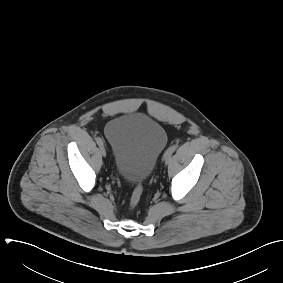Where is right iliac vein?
Here are the masks:
<instances>
[{"mask_svg": "<svg viewBox=\"0 0 283 283\" xmlns=\"http://www.w3.org/2000/svg\"><path fill=\"white\" fill-rule=\"evenodd\" d=\"M100 153H101V155H102L103 157L106 156V149H105L104 146H101V147H100Z\"/></svg>", "mask_w": 283, "mask_h": 283, "instance_id": "right-iliac-vein-1", "label": "right iliac vein"}]
</instances>
